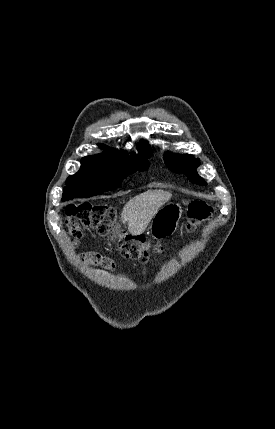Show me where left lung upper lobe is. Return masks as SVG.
Returning <instances> with one entry per match:
<instances>
[{"label": "left lung upper lobe", "instance_id": "left-lung-upper-lobe-1", "mask_svg": "<svg viewBox=\"0 0 275 429\" xmlns=\"http://www.w3.org/2000/svg\"><path fill=\"white\" fill-rule=\"evenodd\" d=\"M164 159L168 168L173 172L185 173L191 182L206 185V182L196 172V167L200 165L199 159H195L189 154H165Z\"/></svg>", "mask_w": 275, "mask_h": 429}]
</instances>
